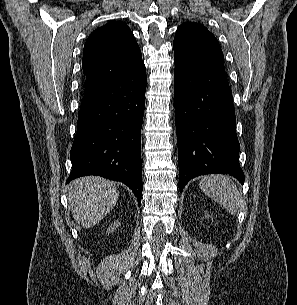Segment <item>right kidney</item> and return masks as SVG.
Segmentation results:
<instances>
[{"label": "right kidney", "instance_id": "1", "mask_svg": "<svg viewBox=\"0 0 297 305\" xmlns=\"http://www.w3.org/2000/svg\"><path fill=\"white\" fill-rule=\"evenodd\" d=\"M120 225V222H115L114 224H111L110 228L108 229V233L112 232L115 228H117Z\"/></svg>", "mask_w": 297, "mask_h": 305}]
</instances>
